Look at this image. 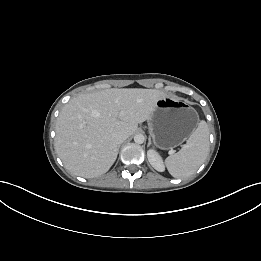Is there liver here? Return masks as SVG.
Listing matches in <instances>:
<instances>
[{
    "instance_id": "liver-1",
    "label": "liver",
    "mask_w": 261,
    "mask_h": 261,
    "mask_svg": "<svg viewBox=\"0 0 261 261\" xmlns=\"http://www.w3.org/2000/svg\"><path fill=\"white\" fill-rule=\"evenodd\" d=\"M163 97L155 89L112 88L72 98L55 127V149L66 169L85 178L106 173L118 154L112 135H132Z\"/></svg>"
}]
</instances>
